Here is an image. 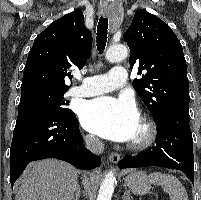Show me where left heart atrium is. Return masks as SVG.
Returning <instances> with one entry per match:
<instances>
[{"label": "left heart atrium", "mask_w": 201, "mask_h": 200, "mask_svg": "<svg viewBox=\"0 0 201 200\" xmlns=\"http://www.w3.org/2000/svg\"><path fill=\"white\" fill-rule=\"evenodd\" d=\"M80 118L88 131L116 142L131 141L140 121L132 100L108 96L86 102Z\"/></svg>", "instance_id": "39dd6f15"}]
</instances>
